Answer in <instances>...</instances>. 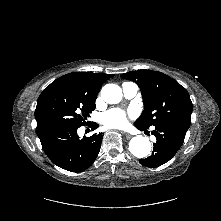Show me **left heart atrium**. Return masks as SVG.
Returning a JSON list of instances; mask_svg holds the SVG:
<instances>
[{
    "label": "left heart atrium",
    "instance_id": "obj_1",
    "mask_svg": "<svg viewBox=\"0 0 221 221\" xmlns=\"http://www.w3.org/2000/svg\"><path fill=\"white\" fill-rule=\"evenodd\" d=\"M133 117L134 113L131 110L124 111L119 108H113L102 115L101 121L108 128H122Z\"/></svg>",
    "mask_w": 221,
    "mask_h": 221
}]
</instances>
